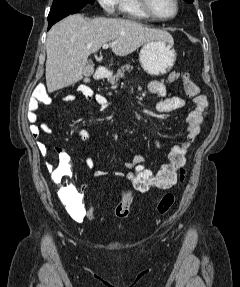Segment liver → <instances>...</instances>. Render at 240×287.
Listing matches in <instances>:
<instances>
[{"label": "liver", "mask_w": 240, "mask_h": 287, "mask_svg": "<svg viewBox=\"0 0 240 287\" xmlns=\"http://www.w3.org/2000/svg\"><path fill=\"white\" fill-rule=\"evenodd\" d=\"M157 39L173 41L167 31L136 21L104 17L86 20L80 14L70 15L54 25L47 34V90L52 93L80 81L89 55L103 44L111 42L113 53L125 56Z\"/></svg>", "instance_id": "obj_1"}]
</instances>
